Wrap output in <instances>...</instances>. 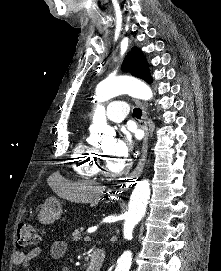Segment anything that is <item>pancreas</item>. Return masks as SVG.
Instances as JSON below:
<instances>
[{
	"mask_svg": "<svg viewBox=\"0 0 221 271\" xmlns=\"http://www.w3.org/2000/svg\"><path fill=\"white\" fill-rule=\"evenodd\" d=\"M73 237L70 238L71 242H81V235H83V229L82 227H79V229H75L72 233Z\"/></svg>",
	"mask_w": 221,
	"mask_h": 271,
	"instance_id": "obj_1",
	"label": "pancreas"
}]
</instances>
